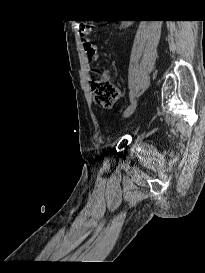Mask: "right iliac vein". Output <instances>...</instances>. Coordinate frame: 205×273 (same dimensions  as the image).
Returning <instances> with one entry per match:
<instances>
[{
    "label": "right iliac vein",
    "instance_id": "obj_1",
    "mask_svg": "<svg viewBox=\"0 0 205 273\" xmlns=\"http://www.w3.org/2000/svg\"><path fill=\"white\" fill-rule=\"evenodd\" d=\"M136 106H137V101L135 100V101H133V102L130 104V106L125 110V112H124V118L130 117V116L134 113V111H135V109H136Z\"/></svg>",
    "mask_w": 205,
    "mask_h": 273
}]
</instances>
